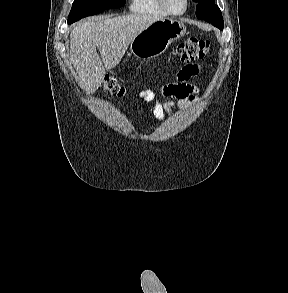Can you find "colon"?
I'll return each instance as SVG.
<instances>
[{"label":"colon","instance_id":"colon-1","mask_svg":"<svg viewBox=\"0 0 288 293\" xmlns=\"http://www.w3.org/2000/svg\"><path fill=\"white\" fill-rule=\"evenodd\" d=\"M210 43L205 39L189 38L180 43L172 52L182 63H191L196 60H203L209 54ZM103 87L105 92L114 97H122L125 93V88L113 76L104 78Z\"/></svg>","mask_w":288,"mask_h":293}]
</instances>
